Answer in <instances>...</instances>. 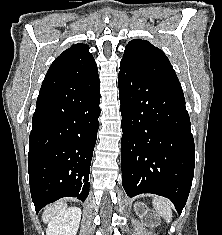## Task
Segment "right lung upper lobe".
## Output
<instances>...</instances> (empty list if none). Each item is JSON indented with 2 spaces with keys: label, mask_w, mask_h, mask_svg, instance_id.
<instances>
[{
  "label": "right lung upper lobe",
  "mask_w": 222,
  "mask_h": 235,
  "mask_svg": "<svg viewBox=\"0 0 222 235\" xmlns=\"http://www.w3.org/2000/svg\"><path fill=\"white\" fill-rule=\"evenodd\" d=\"M94 57L89 46L78 43L72 45L51 64L44 81L52 83L68 82L97 72Z\"/></svg>",
  "instance_id": "right-lung-upper-lobe-1"
}]
</instances>
